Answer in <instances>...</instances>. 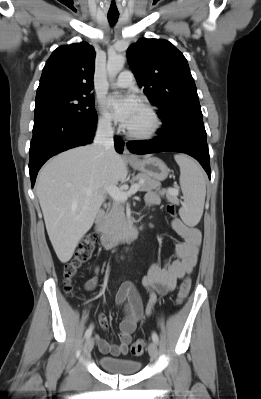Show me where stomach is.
I'll return each mask as SVG.
<instances>
[{"label":"stomach","instance_id":"obj_1","mask_svg":"<svg viewBox=\"0 0 261 399\" xmlns=\"http://www.w3.org/2000/svg\"><path fill=\"white\" fill-rule=\"evenodd\" d=\"M131 166L154 180L163 181L167 178L169 168L157 157H148L130 161Z\"/></svg>","mask_w":261,"mask_h":399}]
</instances>
